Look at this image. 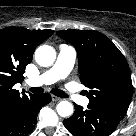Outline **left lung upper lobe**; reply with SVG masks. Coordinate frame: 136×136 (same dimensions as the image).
I'll list each match as a JSON object with an SVG mask.
<instances>
[{
    "label": "left lung upper lobe",
    "instance_id": "obj_1",
    "mask_svg": "<svg viewBox=\"0 0 136 136\" xmlns=\"http://www.w3.org/2000/svg\"><path fill=\"white\" fill-rule=\"evenodd\" d=\"M58 36L74 45L81 82L91 103L127 111L132 94L128 64L113 42L93 30H61Z\"/></svg>",
    "mask_w": 136,
    "mask_h": 136
}]
</instances>
